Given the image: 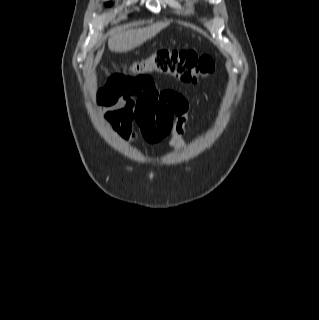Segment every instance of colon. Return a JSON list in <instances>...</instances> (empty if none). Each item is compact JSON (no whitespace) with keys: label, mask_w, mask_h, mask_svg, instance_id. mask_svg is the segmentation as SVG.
<instances>
[{"label":"colon","mask_w":319,"mask_h":320,"mask_svg":"<svg viewBox=\"0 0 319 320\" xmlns=\"http://www.w3.org/2000/svg\"><path fill=\"white\" fill-rule=\"evenodd\" d=\"M213 70L214 63L208 56L188 50L162 48L133 62L126 72L119 70L109 79V85L125 89L151 78V75H169L182 82L195 83ZM133 121L137 126V134L148 143L160 142L171 133V126L161 124L153 114L135 113L126 126L129 135Z\"/></svg>","instance_id":"5ec220e1"}]
</instances>
